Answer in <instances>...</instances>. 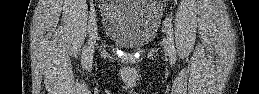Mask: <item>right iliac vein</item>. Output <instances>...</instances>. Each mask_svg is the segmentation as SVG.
I'll list each match as a JSON object with an SVG mask.
<instances>
[{"mask_svg":"<svg viewBox=\"0 0 259 94\" xmlns=\"http://www.w3.org/2000/svg\"><path fill=\"white\" fill-rule=\"evenodd\" d=\"M97 37H98V29H97L96 24H94V26L91 30L90 39H89V43H88V49H87L88 60L92 59V57H93Z\"/></svg>","mask_w":259,"mask_h":94,"instance_id":"obj_1","label":"right iliac vein"}]
</instances>
